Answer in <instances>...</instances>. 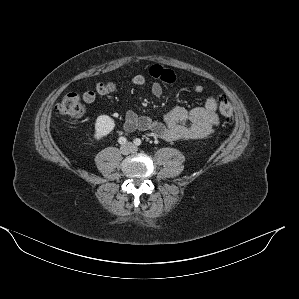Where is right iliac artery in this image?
<instances>
[{
    "instance_id": "obj_1",
    "label": "right iliac artery",
    "mask_w": 299,
    "mask_h": 299,
    "mask_svg": "<svg viewBox=\"0 0 299 299\" xmlns=\"http://www.w3.org/2000/svg\"><path fill=\"white\" fill-rule=\"evenodd\" d=\"M118 142L120 143V144H126V142H127V139L125 138V137H120L119 139H118Z\"/></svg>"
}]
</instances>
